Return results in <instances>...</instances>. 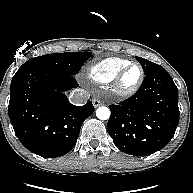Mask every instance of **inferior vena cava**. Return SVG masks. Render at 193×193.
<instances>
[{
	"label": "inferior vena cava",
	"instance_id": "inferior-vena-cava-1",
	"mask_svg": "<svg viewBox=\"0 0 193 193\" xmlns=\"http://www.w3.org/2000/svg\"><path fill=\"white\" fill-rule=\"evenodd\" d=\"M90 98V93L84 89H75L70 95V102L74 105H81L86 103Z\"/></svg>",
	"mask_w": 193,
	"mask_h": 193
}]
</instances>
